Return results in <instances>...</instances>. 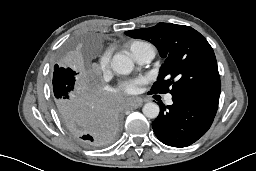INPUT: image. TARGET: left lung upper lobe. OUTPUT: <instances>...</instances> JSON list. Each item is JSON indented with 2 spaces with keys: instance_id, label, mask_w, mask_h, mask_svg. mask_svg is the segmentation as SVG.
Returning <instances> with one entry per match:
<instances>
[{
  "instance_id": "left-lung-upper-lobe-1",
  "label": "left lung upper lobe",
  "mask_w": 256,
  "mask_h": 171,
  "mask_svg": "<svg viewBox=\"0 0 256 171\" xmlns=\"http://www.w3.org/2000/svg\"><path fill=\"white\" fill-rule=\"evenodd\" d=\"M126 35L154 44L165 58L151 93L192 91L219 97L221 82L212 47L196 30L185 25L158 23ZM171 88V90H169Z\"/></svg>"
}]
</instances>
